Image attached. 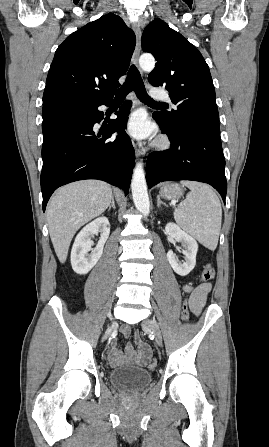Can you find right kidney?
Returning a JSON list of instances; mask_svg holds the SVG:
<instances>
[{
  "label": "right kidney",
  "mask_w": 269,
  "mask_h": 447,
  "mask_svg": "<svg viewBox=\"0 0 269 447\" xmlns=\"http://www.w3.org/2000/svg\"><path fill=\"white\" fill-rule=\"evenodd\" d=\"M94 233H100V239L91 253H87L91 249L93 243L91 235H94ZM109 233V220L104 216L103 218H96L90 224L82 227L75 237L71 251V265L76 273H88L97 263L103 253L104 243L107 241Z\"/></svg>",
  "instance_id": "obj_1"
}]
</instances>
